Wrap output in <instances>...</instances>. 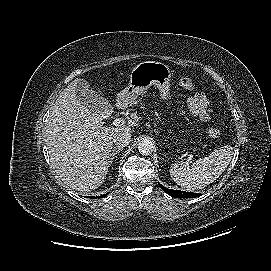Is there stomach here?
Segmentation results:
<instances>
[{
	"label": "stomach",
	"mask_w": 271,
	"mask_h": 271,
	"mask_svg": "<svg viewBox=\"0 0 271 271\" xmlns=\"http://www.w3.org/2000/svg\"><path fill=\"white\" fill-rule=\"evenodd\" d=\"M171 76L170 68L164 63L142 62L131 71L129 84L117 95V103L120 106L131 105L151 86L159 90L163 100H168Z\"/></svg>",
	"instance_id": "obj_1"
}]
</instances>
